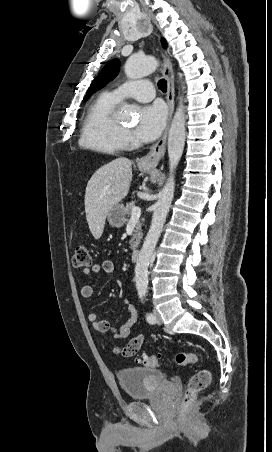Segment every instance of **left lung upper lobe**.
<instances>
[{"label":"left lung upper lobe","instance_id":"left-lung-upper-lobe-1","mask_svg":"<svg viewBox=\"0 0 272 452\" xmlns=\"http://www.w3.org/2000/svg\"><path fill=\"white\" fill-rule=\"evenodd\" d=\"M162 44L164 47H166L165 40L162 39ZM120 67V61L118 59H113L109 61L103 69L100 71L98 76L93 80L92 84L90 85L87 94L85 96V101L97 90L103 88L106 86L111 80H113L118 72Z\"/></svg>","mask_w":272,"mask_h":452}]
</instances>
